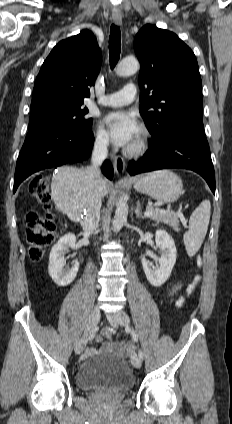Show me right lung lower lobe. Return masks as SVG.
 I'll use <instances>...</instances> for the list:
<instances>
[{
    "label": "right lung lower lobe",
    "instance_id": "98d812e1",
    "mask_svg": "<svg viewBox=\"0 0 232 424\" xmlns=\"http://www.w3.org/2000/svg\"><path fill=\"white\" fill-rule=\"evenodd\" d=\"M93 143L94 136L90 130H29L17 159L13 192L24 179L37 171L86 159L91 153ZM102 170L107 178L112 179L114 171L108 160L103 163Z\"/></svg>",
    "mask_w": 232,
    "mask_h": 424
}]
</instances>
